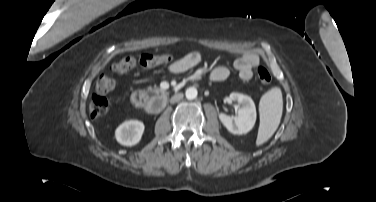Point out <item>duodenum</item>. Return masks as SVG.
<instances>
[{
    "label": "duodenum",
    "instance_id": "1",
    "mask_svg": "<svg viewBox=\"0 0 376 202\" xmlns=\"http://www.w3.org/2000/svg\"><path fill=\"white\" fill-rule=\"evenodd\" d=\"M168 97L164 95H157L153 97L146 96L143 92L135 91L131 95L132 105L146 113H157L163 109L167 104Z\"/></svg>",
    "mask_w": 376,
    "mask_h": 202
}]
</instances>
